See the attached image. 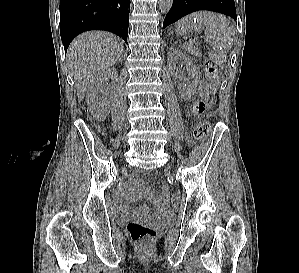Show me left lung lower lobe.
<instances>
[{
    "label": "left lung lower lobe",
    "instance_id": "0a47b994",
    "mask_svg": "<svg viewBox=\"0 0 299 273\" xmlns=\"http://www.w3.org/2000/svg\"><path fill=\"white\" fill-rule=\"evenodd\" d=\"M199 10H209L228 15L236 20L234 0H174L165 17L163 28L181 17Z\"/></svg>",
    "mask_w": 299,
    "mask_h": 273
}]
</instances>
